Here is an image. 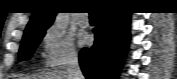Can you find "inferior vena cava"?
Instances as JSON below:
<instances>
[{
  "instance_id": "obj_1",
  "label": "inferior vena cava",
  "mask_w": 177,
  "mask_h": 79,
  "mask_svg": "<svg viewBox=\"0 0 177 79\" xmlns=\"http://www.w3.org/2000/svg\"><path fill=\"white\" fill-rule=\"evenodd\" d=\"M65 70L68 79H84L79 66L78 56L75 52L69 54Z\"/></svg>"
}]
</instances>
